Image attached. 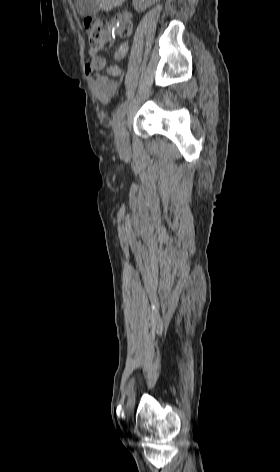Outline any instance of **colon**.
<instances>
[{
	"instance_id": "1",
	"label": "colon",
	"mask_w": 280,
	"mask_h": 472,
	"mask_svg": "<svg viewBox=\"0 0 280 472\" xmlns=\"http://www.w3.org/2000/svg\"><path fill=\"white\" fill-rule=\"evenodd\" d=\"M84 27L92 49L108 47L111 36L114 34L125 35L130 32L129 24L124 21L108 22L95 17H86Z\"/></svg>"
}]
</instances>
